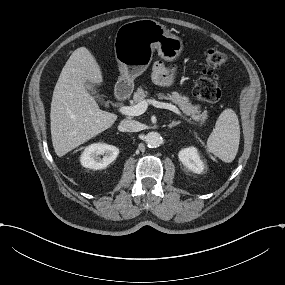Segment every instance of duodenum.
Wrapping results in <instances>:
<instances>
[{"instance_id": "obj_1", "label": "duodenum", "mask_w": 285, "mask_h": 285, "mask_svg": "<svg viewBox=\"0 0 285 285\" xmlns=\"http://www.w3.org/2000/svg\"><path fill=\"white\" fill-rule=\"evenodd\" d=\"M115 87H116L115 97L118 102L125 101L131 95L134 89L133 84L125 79L118 80L115 84Z\"/></svg>"}]
</instances>
